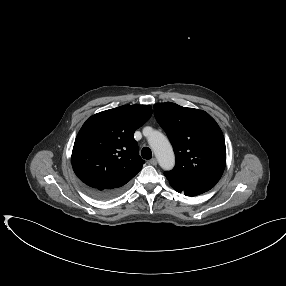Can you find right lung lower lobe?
<instances>
[{"mask_svg":"<svg viewBox=\"0 0 286 286\" xmlns=\"http://www.w3.org/2000/svg\"><path fill=\"white\" fill-rule=\"evenodd\" d=\"M86 192L92 197L100 200H108L118 196L123 190H98L85 186Z\"/></svg>","mask_w":286,"mask_h":286,"instance_id":"1","label":"right lung lower lobe"}]
</instances>
